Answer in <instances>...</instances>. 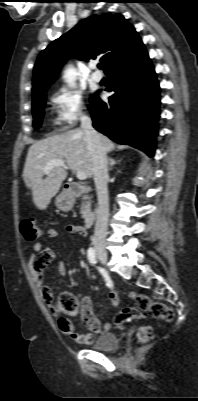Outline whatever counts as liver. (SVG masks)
I'll return each mask as SVG.
<instances>
[{
  "mask_svg": "<svg viewBox=\"0 0 198 401\" xmlns=\"http://www.w3.org/2000/svg\"><path fill=\"white\" fill-rule=\"evenodd\" d=\"M99 136L106 153L111 152L114 143L102 134ZM55 159L65 161L72 172L83 171L87 177L93 176L89 139L82 128L37 141L28 150L23 179L26 186L31 188L33 202L40 210L47 208L67 177V171L60 166H54L49 173H44L45 166Z\"/></svg>",
  "mask_w": 198,
  "mask_h": 401,
  "instance_id": "6515ba94",
  "label": "liver"
}]
</instances>
